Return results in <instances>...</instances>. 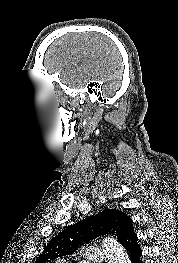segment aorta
I'll use <instances>...</instances> for the list:
<instances>
[{
  "mask_svg": "<svg viewBox=\"0 0 178 263\" xmlns=\"http://www.w3.org/2000/svg\"><path fill=\"white\" fill-rule=\"evenodd\" d=\"M103 247L108 263H131L125 249L113 238H105Z\"/></svg>",
  "mask_w": 178,
  "mask_h": 263,
  "instance_id": "obj_1",
  "label": "aorta"
}]
</instances>
